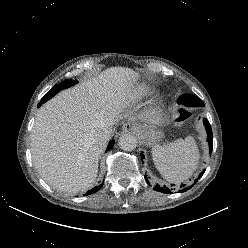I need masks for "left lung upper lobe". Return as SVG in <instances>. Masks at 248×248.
Segmentation results:
<instances>
[{"label":"left lung upper lobe","instance_id":"left-lung-upper-lobe-1","mask_svg":"<svg viewBox=\"0 0 248 248\" xmlns=\"http://www.w3.org/2000/svg\"><path fill=\"white\" fill-rule=\"evenodd\" d=\"M178 104H182L185 106H203L204 105L200 98L194 95H190V94L180 96L178 98Z\"/></svg>","mask_w":248,"mask_h":248}]
</instances>
